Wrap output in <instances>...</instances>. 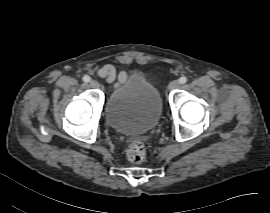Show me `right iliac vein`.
Returning <instances> with one entry per match:
<instances>
[{"instance_id":"obj_1","label":"right iliac vein","mask_w":270,"mask_h":213,"mask_svg":"<svg viewBox=\"0 0 270 213\" xmlns=\"http://www.w3.org/2000/svg\"><path fill=\"white\" fill-rule=\"evenodd\" d=\"M90 86H91L92 88H98V87H99V84H98L97 81L91 80V81H90Z\"/></svg>"}]
</instances>
